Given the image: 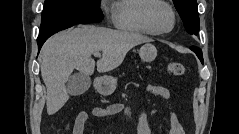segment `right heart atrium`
Instances as JSON below:
<instances>
[{
  "label": "right heart atrium",
  "instance_id": "d8ad5b80",
  "mask_svg": "<svg viewBox=\"0 0 239 134\" xmlns=\"http://www.w3.org/2000/svg\"><path fill=\"white\" fill-rule=\"evenodd\" d=\"M102 9H103L104 14H105L107 17H111L110 9H109L106 5H104V6L102 7Z\"/></svg>",
  "mask_w": 239,
  "mask_h": 134
}]
</instances>
